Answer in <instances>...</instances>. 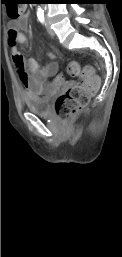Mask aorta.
Wrapping results in <instances>:
<instances>
[{
	"instance_id": "1",
	"label": "aorta",
	"mask_w": 122,
	"mask_h": 257,
	"mask_svg": "<svg viewBox=\"0 0 122 257\" xmlns=\"http://www.w3.org/2000/svg\"><path fill=\"white\" fill-rule=\"evenodd\" d=\"M38 11H41V8H38Z\"/></svg>"
}]
</instances>
